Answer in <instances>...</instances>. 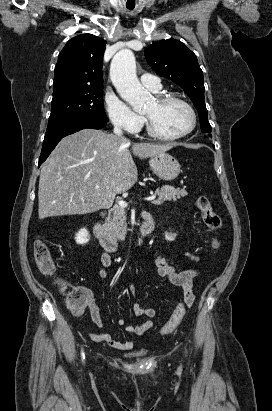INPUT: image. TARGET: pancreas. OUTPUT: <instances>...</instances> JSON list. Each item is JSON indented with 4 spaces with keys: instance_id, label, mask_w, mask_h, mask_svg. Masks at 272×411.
<instances>
[{
    "instance_id": "cf45deb5",
    "label": "pancreas",
    "mask_w": 272,
    "mask_h": 411,
    "mask_svg": "<svg viewBox=\"0 0 272 411\" xmlns=\"http://www.w3.org/2000/svg\"><path fill=\"white\" fill-rule=\"evenodd\" d=\"M155 194L158 199L153 201V204L160 205L164 201H176L187 196L184 189L175 188L173 186L164 185L157 189ZM127 214L125 208L114 206L109 212L105 223L106 231L116 240L122 241L127 233Z\"/></svg>"
}]
</instances>
